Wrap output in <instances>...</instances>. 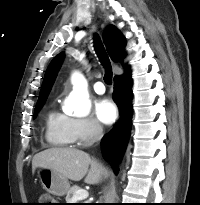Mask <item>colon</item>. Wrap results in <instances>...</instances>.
Returning a JSON list of instances; mask_svg holds the SVG:
<instances>
[{"mask_svg": "<svg viewBox=\"0 0 200 205\" xmlns=\"http://www.w3.org/2000/svg\"><path fill=\"white\" fill-rule=\"evenodd\" d=\"M38 205H54L53 198L49 194H42L39 198Z\"/></svg>", "mask_w": 200, "mask_h": 205, "instance_id": "1", "label": "colon"}]
</instances>
